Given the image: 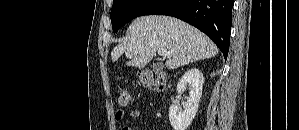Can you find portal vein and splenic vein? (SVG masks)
I'll list each match as a JSON object with an SVG mask.
<instances>
[{
	"label": "portal vein and splenic vein",
	"instance_id": "portal-vein-and-splenic-vein-1",
	"mask_svg": "<svg viewBox=\"0 0 299 130\" xmlns=\"http://www.w3.org/2000/svg\"><path fill=\"white\" fill-rule=\"evenodd\" d=\"M158 54L160 56L167 57V58H170L172 56V52L167 51L166 49H160V50H158Z\"/></svg>",
	"mask_w": 299,
	"mask_h": 130
}]
</instances>
